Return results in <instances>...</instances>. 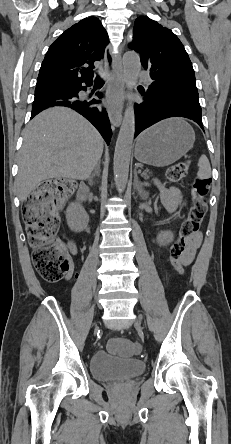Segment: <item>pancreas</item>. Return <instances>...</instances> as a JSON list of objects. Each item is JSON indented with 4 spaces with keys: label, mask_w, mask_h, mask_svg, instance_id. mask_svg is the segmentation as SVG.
I'll use <instances>...</instances> for the list:
<instances>
[{
    "label": "pancreas",
    "mask_w": 231,
    "mask_h": 444,
    "mask_svg": "<svg viewBox=\"0 0 231 444\" xmlns=\"http://www.w3.org/2000/svg\"><path fill=\"white\" fill-rule=\"evenodd\" d=\"M151 175H152V171L149 170V169H145V170L143 171V173H142V176H143L144 178H147V179H148Z\"/></svg>",
    "instance_id": "pancreas-1"
}]
</instances>
